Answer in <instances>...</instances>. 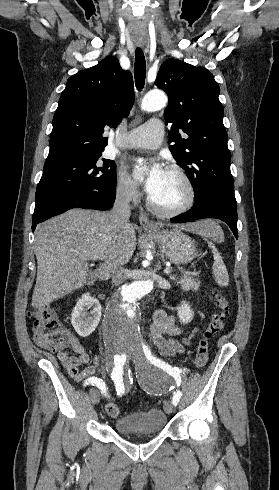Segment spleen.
<instances>
[{"mask_svg": "<svg viewBox=\"0 0 279 490\" xmlns=\"http://www.w3.org/2000/svg\"><path fill=\"white\" fill-rule=\"evenodd\" d=\"M202 230L200 232L201 236L204 238H211L213 242H223L224 234L222 228H220L217 222H213V220H203L201 222ZM209 248H212L214 264H213V276L218 284V286H228L229 284V276L226 270V266L214 244L212 242H208Z\"/></svg>", "mask_w": 279, "mask_h": 490, "instance_id": "3e777b00", "label": "spleen"}]
</instances>
